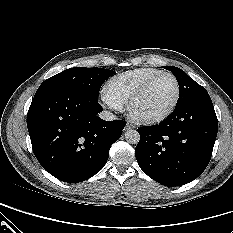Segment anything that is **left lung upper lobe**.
Listing matches in <instances>:
<instances>
[{
  "instance_id": "5c2ea615",
  "label": "left lung upper lobe",
  "mask_w": 233,
  "mask_h": 233,
  "mask_svg": "<svg viewBox=\"0 0 233 233\" xmlns=\"http://www.w3.org/2000/svg\"><path fill=\"white\" fill-rule=\"evenodd\" d=\"M171 71L179 83V99L177 104L182 103L196 94L207 92L204 87L190 78L183 70L174 66H163Z\"/></svg>"
}]
</instances>
